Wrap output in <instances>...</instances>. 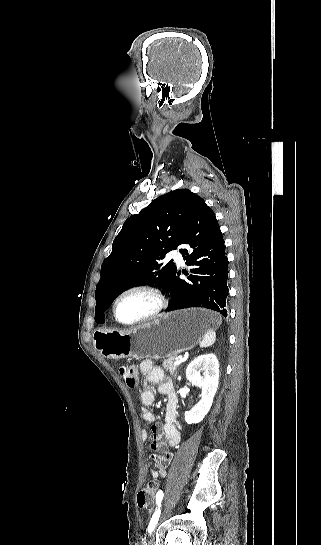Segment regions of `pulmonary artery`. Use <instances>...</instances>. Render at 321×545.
I'll list each match as a JSON object with an SVG mask.
<instances>
[{
  "instance_id": "1",
  "label": "pulmonary artery",
  "mask_w": 321,
  "mask_h": 545,
  "mask_svg": "<svg viewBox=\"0 0 321 545\" xmlns=\"http://www.w3.org/2000/svg\"><path fill=\"white\" fill-rule=\"evenodd\" d=\"M172 258H174V260L179 264V265H183L184 264V260H183V257L181 254H175V255H172L171 256Z\"/></svg>"
}]
</instances>
